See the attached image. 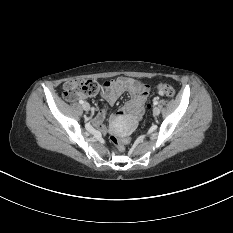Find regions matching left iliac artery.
<instances>
[{
    "instance_id": "1",
    "label": "left iliac artery",
    "mask_w": 233,
    "mask_h": 233,
    "mask_svg": "<svg viewBox=\"0 0 233 233\" xmlns=\"http://www.w3.org/2000/svg\"><path fill=\"white\" fill-rule=\"evenodd\" d=\"M153 103H154V105H157V104H158V101H157V100H154Z\"/></svg>"
}]
</instances>
